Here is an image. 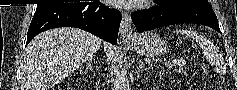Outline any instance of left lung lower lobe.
<instances>
[{
  "instance_id": "0a47b994",
  "label": "left lung lower lobe",
  "mask_w": 237,
  "mask_h": 90,
  "mask_svg": "<svg viewBox=\"0 0 237 90\" xmlns=\"http://www.w3.org/2000/svg\"><path fill=\"white\" fill-rule=\"evenodd\" d=\"M159 4L151 10L132 13V21L138 32H144L162 26L177 23H196L209 26L221 33L217 17L213 10L190 8L185 6H165Z\"/></svg>"
}]
</instances>
